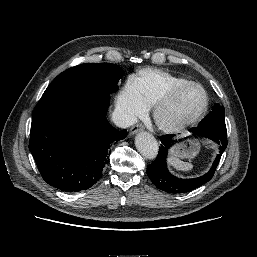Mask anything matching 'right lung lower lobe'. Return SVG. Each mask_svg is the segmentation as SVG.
Wrapping results in <instances>:
<instances>
[{"mask_svg":"<svg viewBox=\"0 0 257 257\" xmlns=\"http://www.w3.org/2000/svg\"><path fill=\"white\" fill-rule=\"evenodd\" d=\"M109 101V94L93 91L62 92L39 100L29 149L48 184L73 192L101 178L110 145L127 136L126 130L108 123Z\"/></svg>","mask_w":257,"mask_h":257,"instance_id":"obj_1","label":"right lung lower lobe"}]
</instances>
